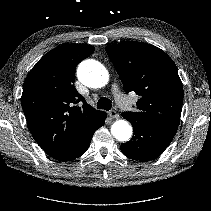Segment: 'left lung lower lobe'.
I'll list each match as a JSON object with an SVG mask.
<instances>
[{
	"instance_id": "0a47b994",
	"label": "left lung lower lobe",
	"mask_w": 211,
	"mask_h": 211,
	"mask_svg": "<svg viewBox=\"0 0 211 211\" xmlns=\"http://www.w3.org/2000/svg\"><path fill=\"white\" fill-rule=\"evenodd\" d=\"M133 126L134 136L121 144L122 153L133 160L145 162L159 156L170 144L177 126L141 123L122 113Z\"/></svg>"
}]
</instances>
